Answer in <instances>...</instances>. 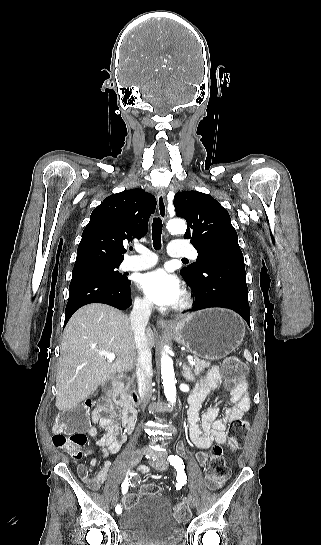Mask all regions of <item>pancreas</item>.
Wrapping results in <instances>:
<instances>
[{
  "label": "pancreas",
  "mask_w": 321,
  "mask_h": 545,
  "mask_svg": "<svg viewBox=\"0 0 321 545\" xmlns=\"http://www.w3.org/2000/svg\"><path fill=\"white\" fill-rule=\"evenodd\" d=\"M195 365H191L194 375H199V373H202L206 367H210L211 363H206V361H203V359H198V357H195L194 359Z\"/></svg>",
  "instance_id": "1"
}]
</instances>
